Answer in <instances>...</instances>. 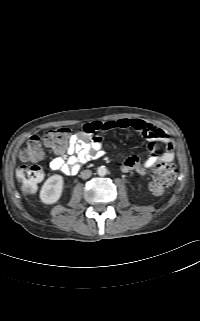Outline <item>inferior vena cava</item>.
Segmentation results:
<instances>
[{"instance_id":"1","label":"inferior vena cava","mask_w":200,"mask_h":321,"mask_svg":"<svg viewBox=\"0 0 200 321\" xmlns=\"http://www.w3.org/2000/svg\"><path fill=\"white\" fill-rule=\"evenodd\" d=\"M92 175V172L90 170H83L80 174V177L82 179H88Z\"/></svg>"}]
</instances>
